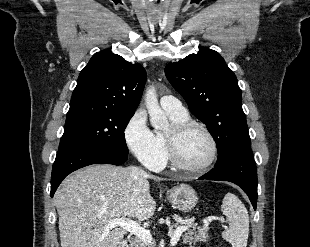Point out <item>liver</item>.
<instances>
[{
    "instance_id": "obj_1",
    "label": "liver",
    "mask_w": 310,
    "mask_h": 247,
    "mask_svg": "<svg viewBox=\"0 0 310 247\" xmlns=\"http://www.w3.org/2000/svg\"><path fill=\"white\" fill-rule=\"evenodd\" d=\"M149 179L163 180L135 166L98 164L68 176L56 191L61 247H117L125 230H106L113 219L151 218L156 202Z\"/></svg>"
}]
</instances>
